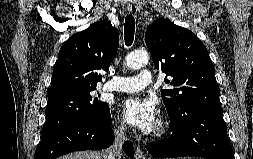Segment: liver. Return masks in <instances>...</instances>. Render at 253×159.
<instances>
[{"mask_svg": "<svg viewBox=\"0 0 253 159\" xmlns=\"http://www.w3.org/2000/svg\"><path fill=\"white\" fill-rule=\"evenodd\" d=\"M106 151H78L74 153L67 154L58 159H106Z\"/></svg>", "mask_w": 253, "mask_h": 159, "instance_id": "liver-1", "label": "liver"}]
</instances>
